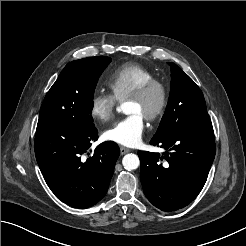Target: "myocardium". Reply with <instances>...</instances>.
I'll return each mask as SVG.
<instances>
[{"mask_svg":"<svg viewBox=\"0 0 246 246\" xmlns=\"http://www.w3.org/2000/svg\"><path fill=\"white\" fill-rule=\"evenodd\" d=\"M153 91H158L159 93V102L156 108L147 113L144 118L147 121L154 122L160 119L167 108L169 93L168 88L164 82L158 79H152L145 84H143L140 88H138L134 93H132L127 100H133L138 102L145 101Z\"/></svg>","mask_w":246,"mask_h":246,"instance_id":"myocardium-1","label":"myocardium"}]
</instances>
